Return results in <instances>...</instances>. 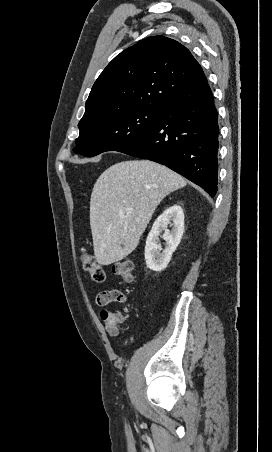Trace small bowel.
<instances>
[{"label": "small bowel", "mask_w": 272, "mask_h": 452, "mask_svg": "<svg viewBox=\"0 0 272 452\" xmlns=\"http://www.w3.org/2000/svg\"><path fill=\"white\" fill-rule=\"evenodd\" d=\"M96 302L99 306H105L112 302L124 304L127 302V296L117 289L104 290L97 295ZM100 319L105 324L108 333L111 336H117L126 320V316L123 312L112 313L107 310H102Z\"/></svg>", "instance_id": "obj_1"}]
</instances>
